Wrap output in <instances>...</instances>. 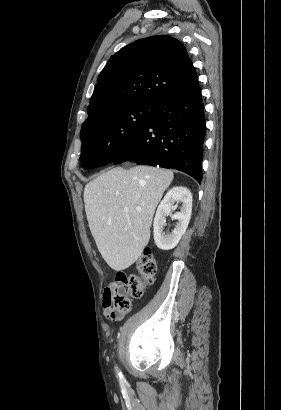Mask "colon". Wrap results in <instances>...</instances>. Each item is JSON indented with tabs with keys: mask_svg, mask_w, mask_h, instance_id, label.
I'll use <instances>...</instances> for the list:
<instances>
[{
	"mask_svg": "<svg viewBox=\"0 0 281 410\" xmlns=\"http://www.w3.org/2000/svg\"><path fill=\"white\" fill-rule=\"evenodd\" d=\"M139 275L119 272L108 287L112 310L108 314L111 320H117L121 314L131 309L132 299L143 296L147 286L154 282L157 270L155 258L146 247L138 263Z\"/></svg>",
	"mask_w": 281,
	"mask_h": 410,
	"instance_id": "1",
	"label": "colon"
}]
</instances>
